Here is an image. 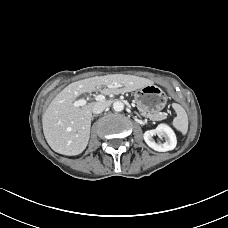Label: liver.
<instances>
[{
  "instance_id": "liver-1",
  "label": "liver",
  "mask_w": 228,
  "mask_h": 228,
  "mask_svg": "<svg viewBox=\"0 0 228 228\" xmlns=\"http://www.w3.org/2000/svg\"><path fill=\"white\" fill-rule=\"evenodd\" d=\"M152 84L154 82L150 79L124 74L95 76L71 83L56 95L43 114V133L47 143L59 154L74 156L82 153L89 141L95 102L75 107L73 103L76 98L100 88H103V94L109 95Z\"/></svg>"
}]
</instances>
